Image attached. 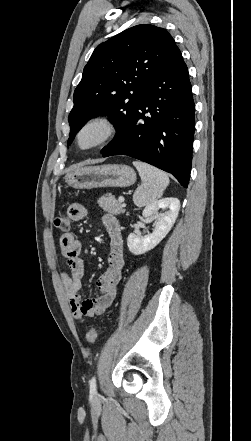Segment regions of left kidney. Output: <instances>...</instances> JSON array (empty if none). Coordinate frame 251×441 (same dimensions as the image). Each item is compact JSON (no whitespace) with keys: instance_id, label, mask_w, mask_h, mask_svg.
Instances as JSON below:
<instances>
[{"instance_id":"1","label":"left kidney","mask_w":251,"mask_h":441,"mask_svg":"<svg viewBox=\"0 0 251 441\" xmlns=\"http://www.w3.org/2000/svg\"><path fill=\"white\" fill-rule=\"evenodd\" d=\"M160 209L167 211L158 217L154 216ZM179 210L180 201L173 197L161 199L145 207L142 216L157 218L155 228L151 234L144 237L135 233L129 234L127 238L129 251L134 255H140L156 247L173 227Z\"/></svg>"}]
</instances>
